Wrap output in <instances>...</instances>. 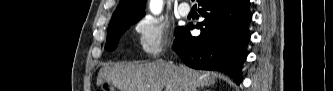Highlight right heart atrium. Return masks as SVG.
<instances>
[{
  "instance_id": "obj_1",
  "label": "right heart atrium",
  "mask_w": 333,
  "mask_h": 91,
  "mask_svg": "<svg viewBox=\"0 0 333 91\" xmlns=\"http://www.w3.org/2000/svg\"><path fill=\"white\" fill-rule=\"evenodd\" d=\"M139 47L146 58L162 55L169 45L170 32L161 19L147 16L134 24Z\"/></svg>"
}]
</instances>
